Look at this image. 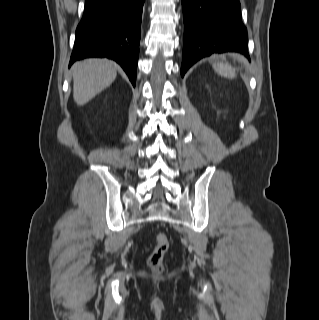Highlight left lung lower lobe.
I'll list each match as a JSON object with an SVG mask.
<instances>
[{
	"instance_id": "left-lung-lower-lobe-1",
	"label": "left lung lower lobe",
	"mask_w": 319,
	"mask_h": 320,
	"mask_svg": "<svg viewBox=\"0 0 319 320\" xmlns=\"http://www.w3.org/2000/svg\"><path fill=\"white\" fill-rule=\"evenodd\" d=\"M182 8V76L196 61L213 53L237 52L249 59L239 0H182Z\"/></svg>"
}]
</instances>
